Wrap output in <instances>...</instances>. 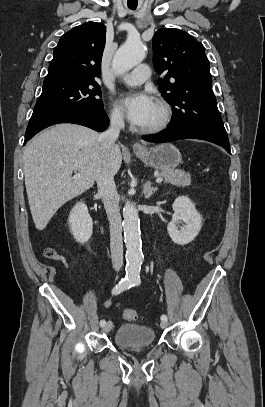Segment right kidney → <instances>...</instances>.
Segmentation results:
<instances>
[{"instance_id": "ca27d5eb", "label": "right kidney", "mask_w": 265, "mask_h": 407, "mask_svg": "<svg viewBox=\"0 0 265 407\" xmlns=\"http://www.w3.org/2000/svg\"><path fill=\"white\" fill-rule=\"evenodd\" d=\"M70 231L78 243H86L93 232V222L84 202L77 203L68 218Z\"/></svg>"}]
</instances>
